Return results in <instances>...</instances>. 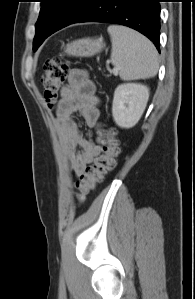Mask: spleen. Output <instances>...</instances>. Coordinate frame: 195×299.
<instances>
[{
  "label": "spleen",
  "mask_w": 195,
  "mask_h": 299,
  "mask_svg": "<svg viewBox=\"0 0 195 299\" xmlns=\"http://www.w3.org/2000/svg\"><path fill=\"white\" fill-rule=\"evenodd\" d=\"M112 42L111 62L122 80L154 77L159 68L153 43L137 31L121 25L107 29Z\"/></svg>",
  "instance_id": "1"
}]
</instances>
